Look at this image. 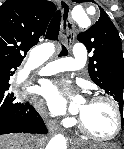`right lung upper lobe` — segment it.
I'll list each match as a JSON object with an SVG mask.
<instances>
[{"instance_id":"obj_1","label":"right lung upper lobe","mask_w":124,"mask_h":149,"mask_svg":"<svg viewBox=\"0 0 124 149\" xmlns=\"http://www.w3.org/2000/svg\"><path fill=\"white\" fill-rule=\"evenodd\" d=\"M56 6L47 0H7L0 6V65H20L45 34Z\"/></svg>"}]
</instances>
